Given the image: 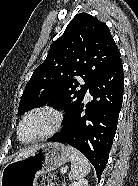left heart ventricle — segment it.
<instances>
[{
  "label": "left heart ventricle",
  "mask_w": 138,
  "mask_h": 186,
  "mask_svg": "<svg viewBox=\"0 0 138 186\" xmlns=\"http://www.w3.org/2000/svg\"><path fill=\"white\" fill-rule=\"evenodd\" d=\"M55 123L54 116L46 111L30 115L24 122L20 135L23 140H29L49 131Z\"/></svg>",
  "instance_id": "left-heart-ventricle-1"
}]
</instances>
